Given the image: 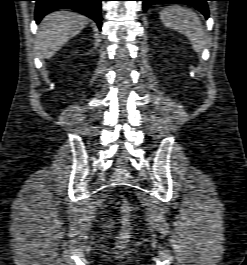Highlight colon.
<instances>
[{"mask_svg":"<svg viewBox=\"0 0 247 265\" xmlns=\"http://www.w3.org/2000/svg\"><path fill=\"white\" fill-rule=\"evenodd\" d=\"M131 207L127 201H122L119 205L121 230L117 238V247L124 248L131 237Z\"/></svg>","mask_w":247,"mask_h":265,"instance_id":"5ec220e1","label":"colon"}]
</instances>
